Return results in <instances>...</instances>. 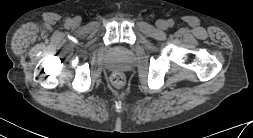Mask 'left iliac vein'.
Segmentation results:
<instances>
[{"label":"left iliac vein","instance_id":"left-iliac-vein-1","mask_svg":"<svg viewBox=\"0 0 253 138\" xmlns=\"http://www.w3.org/2000/svg\"><path fill=\"white\" fill-rule=\"evenodd\" d=\"M167 25H168L167 22L164 21V20H158V21H157V27H158L159 29L164 30V29L167 28Z\"/></svg>","mask_w":253,"mask_h":138}]
</instances>
